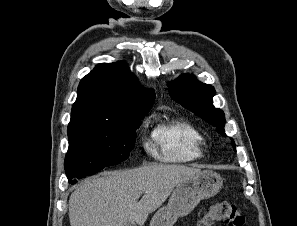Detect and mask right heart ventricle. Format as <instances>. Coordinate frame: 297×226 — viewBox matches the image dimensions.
Wrapping results in <instances>:
<instances>
[{"mask_svg": "<svg viewBox=\"0 0 297 226\" xmlns=\"http://www.w3.org/2000/svg\"><path fill=\"white\" fill-rule=\"evenodd\" d=\"M153 138L160 148L158 157L162 161L186 163L203 156L204 137L186 121L158 125Z\"/></svg>", "mask_w": 297, "mask_h": 226, "instance_id": "e07e8e85", "label": "right heart ventricle"}]
</instances>
